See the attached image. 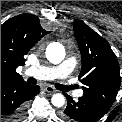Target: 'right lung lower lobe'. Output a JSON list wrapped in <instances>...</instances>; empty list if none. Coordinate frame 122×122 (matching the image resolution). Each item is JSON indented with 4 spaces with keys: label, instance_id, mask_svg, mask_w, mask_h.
Masks as SVG:
<instances>
[{
    "label": "right lung lower lobe",
    "instance_id": "98d812e1",
    "mask_svg": "<svg viewBox=\"0 0 122 122\" xmlns=\"http://www.w3.org/2000/svg\"><path fill=\"white\" fill-rule=\"evenodd\" d=\"M39 91V86H32L25 81L1 82V122L20 120L25 114L27 101Z\"/></svg>",
    "mask_w": 122,
    "mask_h": 122
}]
</instances>
